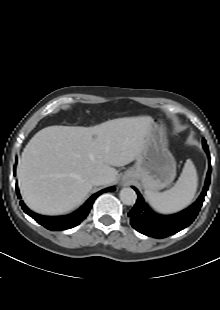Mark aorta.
I'll return each mask as SVG.
<instances>
[{"mask_svg":"<svg viewBox=\"0 0 220 310\" xmlns=\"http://www.w3.org/2000/svg\"><path fill=\"white\" fill-rule=\"evenodd\" d=\"M120 200L122 201L123 204L125 205H133L136 202L137 195L136 192L132 188H123L120 191Z\"/></svg>","mask_w":220,"mask_h":310,"instance_id":"obj_1","label":"aorta"}]
</instances>
